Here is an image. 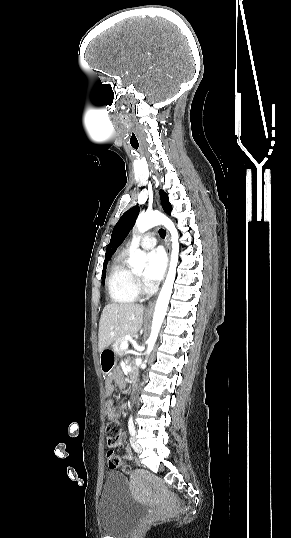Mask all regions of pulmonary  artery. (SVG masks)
<instances>
[{"label": "pulmonary artery", "instance_id": "e3ab8cb5", "mask_svg": "<svg viewBox=\"0 0 291 538\" xmlns=\"http://www.w3.org/2000/svg\"><path fill=\"white\" fill-rule=\"evenodd\" d=\"M156 243H157L156 237L151 233L144 235L139 240V245L144 249H151L156 245Z\"/></svg>", "mask_w": 291, "mask_h": 538}]
</instances>
